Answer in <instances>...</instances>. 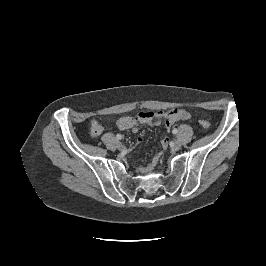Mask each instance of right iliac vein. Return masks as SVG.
<instances>
[{
  "label": "right iliac vein",
  "mask_w": 266,
  "mask_h": 266,
  "mask_svg": "<svg viewBox=\"0 0 266 266\" xmlns=\"http://www.w3.org/2000/svg\"><path fill=\"white\" fill-rule=\"evenodd\" d=\"M116 146L119 150H122L124 148V145L121 142H117Z\"/></svg>",
  "instance_id": "1"
}]
</instances>
